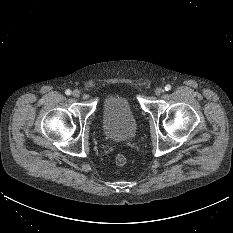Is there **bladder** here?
<instances>
[{
	"mask_svg": "<svg viewBox=\"0 0 233 233\" xmlns=\"http://www.w3.org/2000/svg\"><path fill=\"white\" fill-rule=\"evenodd\" d=\"M102 131L114 141H127L136 134L137 120L124 94H112L105 99Z\"/></svg>",
	"mask_w": 233,
	"mask_h": 233,
	"instance_id": "obj_1",
	"label": "bladder"
}]
</instances>
